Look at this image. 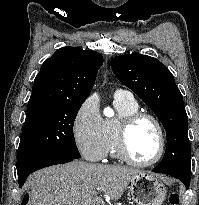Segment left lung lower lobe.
I'll return each instance as SVG.
<instances>
[{"instance_id":"left-lung-lower-lobe-1","label":"left lung lower lobe","mask_w":199,"mask_h":205,"mask_svg":"<svg viewBox=\"0 0 199 205\" xmlns=\"http://www.w3.org/2000/svg\"><path fill=\"white\" fill-rule=\"evenodd\" d=\"M153 172H156V171L153 170ZM156 173H158V172H156ZM164 174L171 175V176L181 180L185 184L186 189H188V187L190 185V179H187L185 177H181V176H178V175H175V174H171V173H164Z\"/></svg>"}]
</instances>
